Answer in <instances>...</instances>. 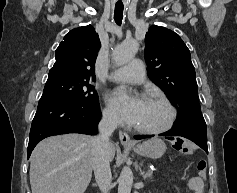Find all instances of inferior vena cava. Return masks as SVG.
I'll use <instances>...</instances> for the list:
<instances>
[{"instance_id": "inferior-vena-cava-1", "label": "inferior vena cava", "mask_w": 237, "mask_h": 193, "mask_svg": "<svg viewBox=\"0 0 237 193\" xmlns=\"http://www.w3.org/2000/svg\"><path fill=\"white\" fill-rule=\"evenodd\" d=\"M119 124V117L113 112H104L98 124L99 134L93 138V170L96 182L102 191L107 193L112 175L110 169V135Z\"/></svg>"}]
</instances>
